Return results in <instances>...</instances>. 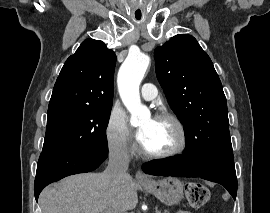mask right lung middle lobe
<instances>
[{
    "label": "right lung middle lobe",
    "instance_id": "right-lung-middle-lobe-1",
    "mask_svg": "<svg viewBox=\"0 0 270 213\" xmlns=\"http://www.w3.org/2000/svg\"><path fill=\"white\" fill-rule=\"evenodd\" d=\"M111 107L48 109L43 154L81 152L107 146L106 128Z\"/></svg>",
    "mask_w": 270,
    "mask_h": 213
}]
</instances>
